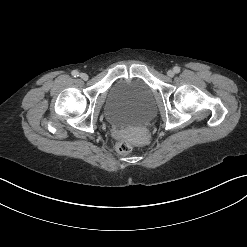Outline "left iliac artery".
I'll list each match as a JSON object with an SVG mask.
<instances>
[{
  "mask_svg": "<svg viewBox=\"0 0 247 247\" xmlns=\"http://www.w3.org/2000/svg\"><path fill=\"white\" fill-rule=\"evenodd\" d=\"M173 70H174L175 73H179V72H180V67L175 66V67L173 68Z\"/></svg>",
  "mask_w": 247,
  "mask_h": 247,
  "instance_id": "left-iliac-artery-1",
  "label": "left iliac artery"
}]
</instances>
